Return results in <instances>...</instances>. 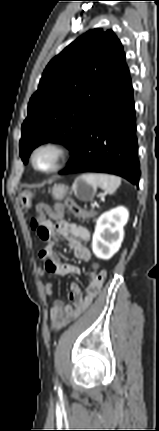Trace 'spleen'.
<instances>
[{
    "mask_svg": "<svg viewBox=\"0 0 159 431\" xmlns=\"http://www.w3.org/2000/svg\"><path fill=\"white\" fill-rule=\"evenodd\" d=\"M82 178L108 194H113L121 184V179L115 175L89 173L83 175Z\"/></svg>",
    "mask_w": 159,
    "mask_h": 431,
    "instance_id": "3e777b00",
    "label": "spleen"
}]
</instances>
